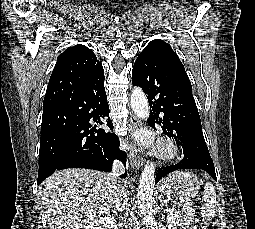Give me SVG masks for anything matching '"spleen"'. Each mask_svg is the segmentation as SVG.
<instances>
[{
	"mask_svg": "<svg viewBox=\"0 0 255 229\" xmlns=\"http://www.w3.org/2000/svg\"><path fill=\"white\" fill-rule=\"evenodd\" d=\"M204 200L201 209V215L205 219H212L215 215L216 192L211 182H206L204 186Z\"/></svg>",
	"mask_w": 255,
	"mask_h": 229,
	"instance_id": "1",
	"label": "spleen"
}]
</instances>
